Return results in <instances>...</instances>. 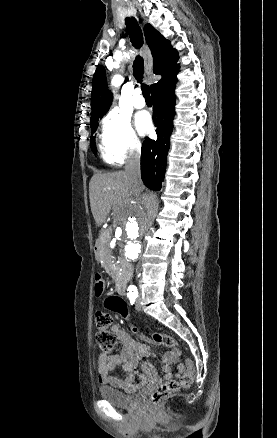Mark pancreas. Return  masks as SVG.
I'll return each instance as SVG.
<instances>
[{"mask_svg": "<svg viewBox=\"0 0 277 438\" xmlns=\"http://www.w3.org/2000/svg\"><path fill=\"white\" fill-rule=\"evenodd\" d=\"M112 238L110 231H103L101 238L97 240L96 245L100 252L103 253L102 266L103 267H115L116 266V252L111 251L112 247L109 244Z\"/></svg>", "mask_w": 277, "mask_h": 438, "instance_id": "obj_1", "label": "pancreas"}]
</instances>
